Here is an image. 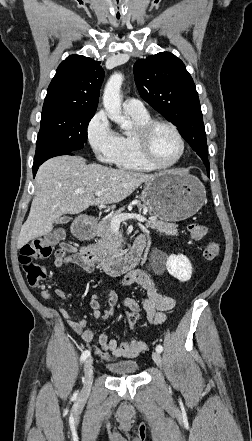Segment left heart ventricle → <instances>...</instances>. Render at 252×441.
I'll use <instances>...</instances> for the list:
<instances>
[{
  "label": "left heart ventricle",
  "instance_id": "obj_1",
  "mask_svg": "<svg viewBox=\"0 0 252 441\" xmlns=\"http://www.w3.org/2000/svg\"><path fill=\"white\" fill-rule=\"evenodd\" d=\"M151 150L155 160L165 164L173 161L180 153L176 135L167 127H158L151 137Z\"/></svg>",
  "mask_w": 252,
  "mask_h": 441
}]
</instances>
